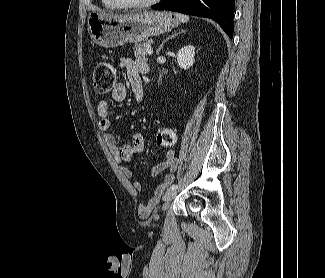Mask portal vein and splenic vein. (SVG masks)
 I'll return each mask as SVG.
<instances>
[{"label":"portal vein and splenic vein","mask_w":325,"mask_h":278,"mask_svg":"<svg viewBox=\"0 0 325 278\" xmlns=\"http://www.w3.org/2000/svg\"><path fill=\"white\" fill-rule=\"evenodd\" d=\"M147 53H148L149 55H152V54H153V49H152V48H149V49L147 50Z\"/></svg>","instance_id":"1"}]
</instances>
